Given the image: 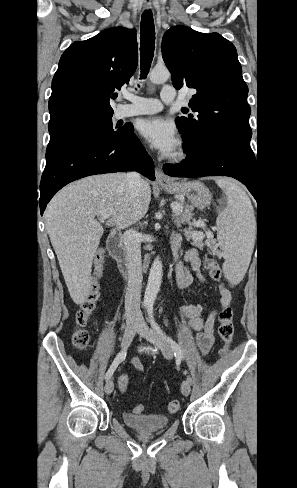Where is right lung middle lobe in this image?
I'll return each mask as SVG.
<instances>
[{"label": "right lung middle lobe", "mask_w": 297, "mask_h": 488, "mask_svg": "<svg viewBox=\"0 0 297 488\" xmlns=\"http://www.w3.org/2000/svg\"><path fill=\"white\" fill-rule=\"evenodd\" d=\"M111 117L84 121L50 133V142L46 150V160L73 144L108 139L116 135L127 134L130 131L131 128L128 127L117 130L113 129Z\"/></svg>", "instance_id": "1"}]
</instances>
